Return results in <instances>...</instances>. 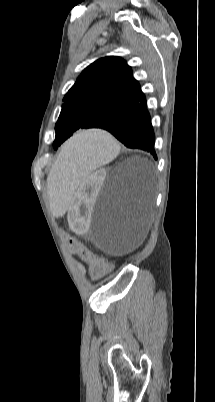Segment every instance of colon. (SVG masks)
<instances>
[{
  "mask_svg": "<svg viewBox=\"0 0 215 402\" xmlns=\"http://www.w3.org/2000/svg\"><path fill=\"white\" fill-rule=\"evenodd\" d=\"M59 229L63 228L62 224L58 225ZM57 236L59 238H62V241L64 243H69L70 248H68V251H72V253L77 254L78 253V258L79 260H91L93 258V264H92V273L94 276L98 277L110 270L111 264L107 262L106 260L102 259L103 254L100 251H97L93 253L94 248L91 245H80V241L78 239H74L71 237L70 232H62L59 231L57 233Z\"/></svg>",
  "mask_w": 215,
  "mask_h": 402,
  "instance_id": "obj_1",
  "label": "colon"
}]
</instances>
